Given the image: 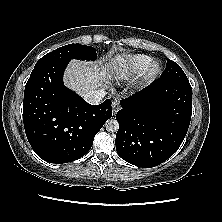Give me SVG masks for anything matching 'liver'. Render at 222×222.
Returning a JSON list of instances; mask_svg holds the SVG:
<instances>
[{
    "mask_svg": "<svg viewBox=\"0 0 222 222\" xmlns=\"http://www.w3.org/2000/svg\"><path fill=\"white\" fill-rule=\"evenodd\" d=\"M127 55H116L112 60L115 67L127 66ZM106 69L97 63L89 64L80 60H72L65 70V85L80 95H85L90 90L99 88L110 77L106 75Z\"/></svg>",
    "mask_w": 222,
    "mask_h": 222,
    "instance_id": "6515ba94",
    "label": "liver"
}]
</instances>
